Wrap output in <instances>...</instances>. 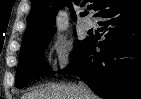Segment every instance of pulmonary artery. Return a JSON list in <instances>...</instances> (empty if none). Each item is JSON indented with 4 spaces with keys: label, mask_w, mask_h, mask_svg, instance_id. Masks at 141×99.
Listing matches in <instances>:
<instances>
[{
    "label": "pulmonary artery",
    "mask_w": 141,
    "mask_h": 99,
    "mask_svg": "<svg viewBox=\"0 0 141 99\" xmlns=\"http://www.w3.org/2000/svg\"><path fill=\"white\" fill-rule=\"evenodd\" d=\"M95 26V22L91 18H86L84 20V28L89 30Z\"/></svg>",
    "instance_id": "obj_1"
}]
</instances>
